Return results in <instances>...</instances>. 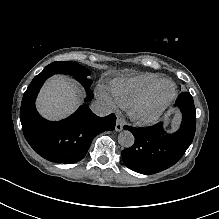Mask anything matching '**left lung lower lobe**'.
<instances>
[{
    "instance_id": "left-lung-lower-lobe-1",
    "label": "left lung lower lobe",
    "mask_w": 219,
    "mask_h": 219,
    "mask_svg": "<svg viewBox=\"0 0 219 219\" xmlns=\"http://www.w3.org/2000/svg\"><path fill=\"white\" fill-rule=\"evenodd\" d=\"M176 106L183 119L180 128L170 134L163 123L136 128L124 126L134 138V144L122 151L124 164L141 174H154L173 166L186 152L193 141L196 128L194 101L190 93L182 92Z\"/></svg>"
}]
</instances>
